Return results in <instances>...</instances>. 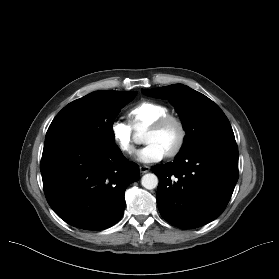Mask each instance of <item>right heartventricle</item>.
<instances>
[{
  "mask_svg": "<svg viewBox=\"0 0 279 279\" xmlns=\"http://www.w3.org/2000/svg\"><path fill=\"white\" fill-rule=\"evenodd\" d=\"M169 114L168 108L153 101H142L129 111V117L134 126L150 125L156 119Z\"/></svg>",
  "mask_w": 279,
  "mask_h": 279,
  "instance_id": "1",
  "label": "right heart ventricle"
}]
</instances>
